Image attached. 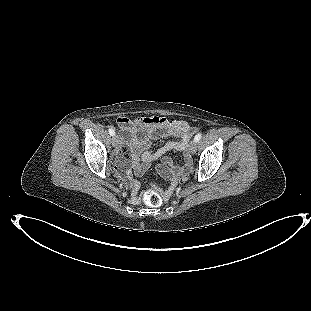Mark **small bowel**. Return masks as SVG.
<instances>
[{"label":"small bowel","instance_id":"c3829d8e","mask_svg":"<svg viewBox=\"0 0 311 311\" xmlns=\"http://www.w3.org/2000/svg\"><path fill=\"white\" fill-rule=\"evenodd\" d=\"M116 123L123 132L118 152V166L129 161L135 175L142 176L153 162L162 159L160 170L168 173L172 184H175L189 169L191 163L187 154L184 156V165L181 167L176 166L170 158L165 157L171 151H186L191 130L185 121H171L158 116L136 119L120 116ZM167 137L174 139L166 142L155 151L149 149L152 141ZM124 174L129 182L131 199L136 203L138 202L137 194L140 183L130 178L127 173Z\"/></svg>","mask_w":311,"mask_h":311}]
</instances>
